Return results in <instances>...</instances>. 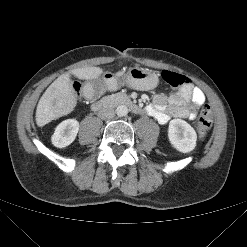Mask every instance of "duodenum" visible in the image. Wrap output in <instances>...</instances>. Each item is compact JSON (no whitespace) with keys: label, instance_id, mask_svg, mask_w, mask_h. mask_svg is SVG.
<instances>
[{"label":"duodenum","instance_id":"duodenum-1","mask_svg":"<svg viewBox=\"0 0 247 247\" xmlns=\"http://www.w3.org/2000/svg\"><path fill=\"white\" fill-rule=\"evenodd\" d=\"M124 105L130 108L135 113H140V106L124 94H115L111 96H105L101 99H96L92 101V108L95 110H105L110 109L114 106Z\"/></svg>","mask_w":247,"mask_h":247}]
</instances>
